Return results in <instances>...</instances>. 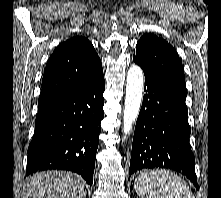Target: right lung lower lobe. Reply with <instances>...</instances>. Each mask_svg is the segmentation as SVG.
<instances>
[{
	"label": "right lung lower lobe",
	"instance_id": "1",
	"mask_svg": "<svg viewBox=\"0 0 221 198\" xmlns=\"http://www.w3.org/2000/svg\"><path fill=\"white\" fill-rule=\"evenodd\" d=\"M103 73L79 89L39 108L28 148L26 175L69 170L93 183L95 156L104 117Z\"/></svg>",
	"mask_w": 221,
	"mask_h": 198
}]
</instances>
